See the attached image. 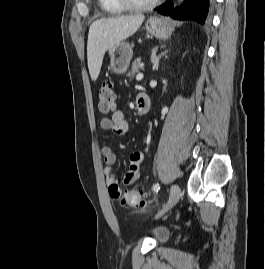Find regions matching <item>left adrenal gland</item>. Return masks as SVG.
<instances>
[{
	"label": "left adrenal gland",
	"instance_id": "obj_1",
	"mask_svg": "<svg viewBox=\"0 0 265 269\" xmlns=\"http://www.w3.org/2000/svg\"><path fill=\"white\" fill-rule=\"evenodd\" d=\"M161 48H164L162 46ZM168 51L162 52L160 55L157 56V48L152 52L151 61L153 63V69L158 70L159 60L162 56L166 55Z\"/></svg>",
	"mask_w": 265,
	"mask_h": 269
}]
</instances>
